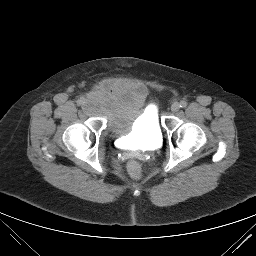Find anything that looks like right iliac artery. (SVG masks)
Listing matches in <instances>:
<instances>
[{
	"instance_id": "1",
	"label": "right iliac artery",
	"mask_w": 256,
	"mask_h": 256,
	"mask_svg": "<svg viewBox=\"0 0 256 256\" xmlns=\"http://www.w3.org/2000/svg\"><path fill=\"white\" fill-rule=\"evenodd\" d=\"M84 102H85L84 98H80L77 100V105L80 106V105L84 104Z\"/></svg>"
}]
</instances>
